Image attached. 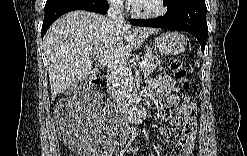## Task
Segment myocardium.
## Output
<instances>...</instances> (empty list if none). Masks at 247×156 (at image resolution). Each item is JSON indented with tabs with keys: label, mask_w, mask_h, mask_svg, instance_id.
Listing matches in <instances>:
<instances>
[{
	"label": "myocardium",
	"mask_w": 247,
	"mask_h": 156,
	"mask_svg": "<svg viewBox=\"0 0 247 156\" xmlns=\"http://www.w3.org/2000/svg\"><path fill=\"white\" fill-rule=\"evenodd\" d=\"M155 2H156V7L154 10L150 12L142 13L138 11V9L136 8L134 4H130L129 11L133 17L137 19H142V20H149V19L160 17L166 11L165 3L163 0H155Z\"/></svg>",
	"instance_id": "myocardium-1"
}]
</instances>
